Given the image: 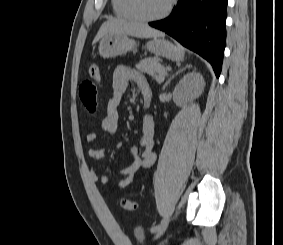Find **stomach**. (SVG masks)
<instances>
[{
    "mask_svg": "<svg viewBox=\"0 0 283 245\" xmlns=\"http://www.w3.org/2000/svg\"><path fill=\"white\" fill-rule=\"evenodd\" d=\"M137 45V42L126 34L111 33L101 40L99 54L103 58H113L130 51L135 52ZM146 48L156 56H162L173 61H182L184 58V53L180 48L161 38L154 37L147 42Z\"/></svg>",
    "mask_w": 283,
    "mask_h": 245,
    "instance_id": "0dacf381",
    "label": "stomach"
}]
</instances>
